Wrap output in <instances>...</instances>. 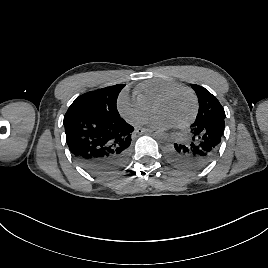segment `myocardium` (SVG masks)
I'll use <instances>...</instances> for the list:
<instances>
[{"instance_id": "1", "label": "myocardium", "mask_w": 268, "mask_h": 268, "mask_svg": "<svg viewBox=\"0 0 268 268\" xmlns=\"http://www.w3.org/2000/svg\"><path fill=\"white\" fill-rule=\"evenodd\" d=\"M179 92H186L189 94V96L192 99L193 102V110L191 115L183 122L175 125L176 128H185L187 126H189L196 118L197 114H198V110H199V102H198V98L196 96V94L194 93V91L186 86H176L170 90H168L166 93H164L154 104L153 110L154 113L157 112V108L160 104H162L163 102L167 101L168 99H170L171 97H173L175 94L179 93Z\"/></svg>"}]
</instances>
